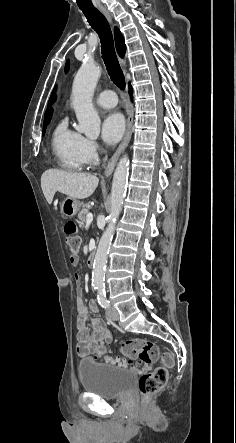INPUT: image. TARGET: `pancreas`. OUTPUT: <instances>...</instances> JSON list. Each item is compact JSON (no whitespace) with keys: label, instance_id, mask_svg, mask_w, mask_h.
Instances as JSON below:
<instances>
[{"label":"pancreas","instance_id":"pancreas-1","mask_svg":"<svg viewBox=\"0 0 236 443\" xmlns=\"http://www.w3.org/2000/svg\"><path fill=\"white\" fill-rule=\"evenodd\" d=\"M89 213V207L88 206H84L82 208V210L79 212L78 214V219L82 222H85L86 220V216Z\"/></svg>","mask_w":236,"mask_h":443}]
</instances>
